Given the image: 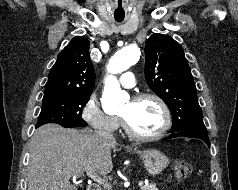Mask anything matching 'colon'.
Segmentation results:
<instances>
[{
    "label": "colon",
    "instance_id": "1",
    "mask_svg": "<svg viewBox=\"0 0 238 190\" xmlns=\"http://www.w3.org/2000/svg\"><path fill=\"white\" fill-rule=\"evenodd\" d=\"M172 170L175 178L178 181L187 179L192 173V166L183 160H177L172 165Z\"/></svg>",
    "mask_w": 238,
    "mask_h": 190
}]
</instances>
